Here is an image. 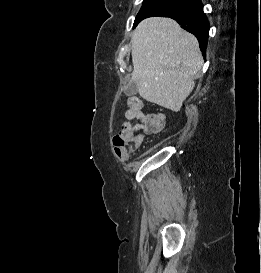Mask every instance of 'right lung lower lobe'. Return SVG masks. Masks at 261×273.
Here are the masks:
<instances>
[{
  "mask_svg": "<svg viewBox=\"0 0 261 273\" xmlns=\"http://www.w3.org/2000/svg\"><path fill=\"white\" fill-rule=\"evenodd\" d=\"M167 5L170 9L154 16L170 17L175 19L183 29L197 37L200 49L205 56L208 42L209 22L203 12L201 1L167 0Z\"/></svg>",
  "mask_w": 261,
  "mask_h": 273,
  "instance_id": "1",
  "label": "right lung lower lobe"
}]
</instances>
